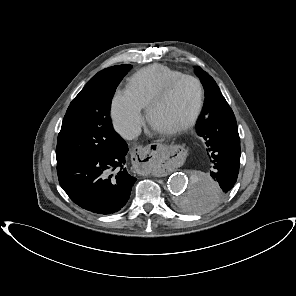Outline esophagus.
<instances>
[{
	"label": "esophagus",
	"instance_id": "34e87169",
	"mask_svg": "<svg viewBox=\"0 0 296 296\" xmlns=\"http://www.w3.org/2000/svg\"><path fill=\"white\" fill-rule=\"evenodd\" d=\"M173 155V149L168 143L162 142L152 147L145 142H138L132 148L133 172L140 177L148 176L153 166L169 162Z\"/></svg>",
	"mask_w": 296,
	"mask_h": 296
}]
</instances>
